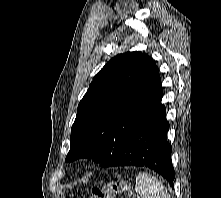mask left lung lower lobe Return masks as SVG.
Wrapping results in <instances>:
<instances>
[{"label": "left lung lower lobe", "mask_w": 221, "mask_h": 198, "mask_svg": "<svg viewBox=\"0 0 221 198\" xmlns=\"http://www.w3.org/2000/svg\"><path fill=\"white\" fill-rule=\"evenodd\" d=\"M168 129L165 107L160 102L121 147L101 163V167L146 166L162 175L173 187L175 172L171 163L172 147L167 142Z\"/></svg>", "instance_id": "obj_1"}]
</instances>
